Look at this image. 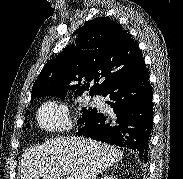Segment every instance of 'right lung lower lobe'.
<instances>
[{"instance_id": "obj_1", "label": "right lung lower lobe", "mask_w": 183, "mask_h": 179, "mask_svg": "<svg viewBox=\"0 0 183 179\" xmlns=\"http://www.w3.org/2000/svg\"><path fill=\"white\" fill-rule=\"evenodd\" d=\"M99 95L107 97L114 113L96 112L81 124L77 134L132 149L146 162L153 128V92L145 63Z\"/></svg>"}]
</instances>
